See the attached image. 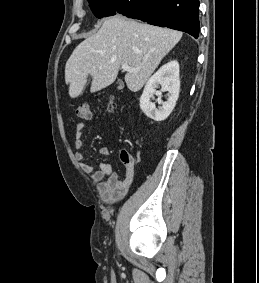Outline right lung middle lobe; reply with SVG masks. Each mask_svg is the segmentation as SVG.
Segmentation results:
<instances>
[{"instance_id":"obj_1","label":"right lung middle lobe","mask_w":259,"mask_h":283,"mask_svg":"<svg viewBox=\"0 0 259 283\" xmlns=\"http://www.w3.org/2000/svg\"><path fill=\"white\" fill-rule=\"evenodd\" d=\"M108 0H88L94 15L98 18L111 16V10L107 4Z\"/></svg>"}]
</instances>
